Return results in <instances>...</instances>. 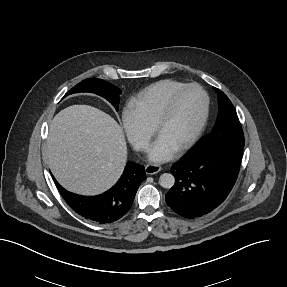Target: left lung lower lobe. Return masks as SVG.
I'll use <instances>...</instances> for the list:
<instances>
[{
  "mask_svg": "<svg viewBox=\"0 0 287 287\" xmlns=\"http://www.w3.org/2000/svg\"><path fill=\"white\" fill-rule=\"evenodd\" d=\"M244 144L222 142L211 146L204 141L174 163V186L166 203L185 218L201 217L219 206L238 177Z\"/></svg>",
  "mask_w": 287,
  "mask_h": 287,
  "instance_id": "obj_1",
  "label": "left lung lower lobe"
}]
</instances>
